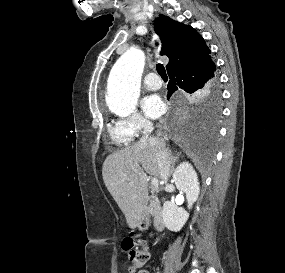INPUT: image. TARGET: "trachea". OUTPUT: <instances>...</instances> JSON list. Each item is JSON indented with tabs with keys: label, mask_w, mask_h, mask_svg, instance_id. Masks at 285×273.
<instances>
[{
	"label": "trachea",
	"mask_w": 285,
	"mask_h": 273,
	"mask_svg": "<svg viewBox=\"0 0 285 273\" xmlns=\"http://www.w3.org/2000/svg\"><path fill=\"white\" fill-rule=\"evenodd\" d=\"M156 69H157V72L161 76L162 79H167L168 78L167 74H166L165 67L163 66V64L158 63L156 65Z\"/></svg>",
	"instance_id": "3493384b"
}]
</instances>
